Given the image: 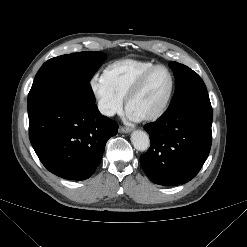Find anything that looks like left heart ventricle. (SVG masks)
<instances>
[{
  "instance_id": "b2bd125f",
  "label": "left heart ventricle",
  "mask_w": 247,
  "mask_h": 247,
  "mask_svg": "<svg viewBox=\"0 0 247 247\" xmlns=\"http://www.w3.org/2000/svg\"><path fill=\"white\" fill-rule=\"evenodd\" d=\"M169 88L168 73L164 69H157L148 79L142 92L132 100L130 109L140 116L148 114L161 105Z\"/></svg>"
}]
</instances>
